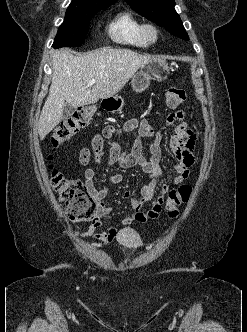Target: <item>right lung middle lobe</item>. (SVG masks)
I'll return each instance as SVG.
<instances>
[{
  "label": "right lung middle lobe",
  "mask_w": 247,
  "mask_h": 332,
  "mask_svg": "<svg viewBox=\"0 0 247 332\" xmlns=\"http://www.w3.org/2000/svg\"><path fill=\"white\" fill-rule=\"evenodd\" d=\"M111 4L95 6L69 5L64 22L60 25L53 47H77L84 43L85 36L94 15Z\"/></svg>",
  "instance_id": "right-lung-middle-lobe-1"
}]
</instances>
